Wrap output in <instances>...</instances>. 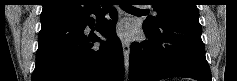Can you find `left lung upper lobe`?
<instances>
[{
    "label": "left lung upper lobe",
    "mask_w": 237,
    "mask_h": 81,
    "mask_svg": "<svg viewBox=\"0 0 237 81\" xmlns=\"http://www.w3.org/2000/svg\"><path fill=\"white\" fill-rule=\"evenodd\" d=\"M152 2L157 16H149L144 21V24L149 28L158 27L167 21L199 23V11L195 0H152Z\"/></svg>",
    "instance_id": "obj_1"
}]
</instances>
